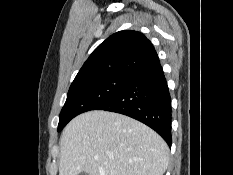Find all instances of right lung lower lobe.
<instances>
[{"label":"right lung lower lobe","mask_w":233,"mask_h":175,"mask_svg":"<svg viewBox=\"0 0 233 175\" xmlns=\"http://www.w3.org/2000/svg\"><path fill=\"white\" fill-rule=\"evenodd\" d=\"M96 110L132 117L151 127L171 146V98L160 62L134 76Z\"/></svg>","instance_id":"obj_1"}]
</instances>
